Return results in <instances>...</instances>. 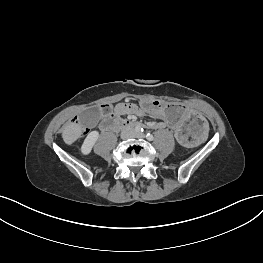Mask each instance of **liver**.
Here are the masks:
<instances>
[{
	"label": "liver",
	"mask_w": 263,
	"mask_h": 263,
	"mask_svg": "<svg viewBox=\"0 0 263 263\" xmlns=\"http://www.w3.org/2000/svg\"><path fill=\"white\" fill-rule=\"evenodd\" d=\"M83 126L80 123L68 122L62 132V138L67 145L74 143L81 135Z\"/></svg>",
	"instance_id": "1"
}]
</instances>
